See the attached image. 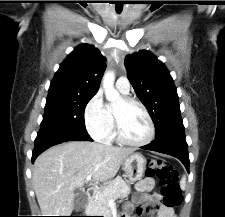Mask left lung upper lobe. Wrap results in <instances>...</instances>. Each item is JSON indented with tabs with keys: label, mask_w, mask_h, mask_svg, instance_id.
Instances as JSON below:
<instances>
[{
	"label": "left lung upper lobe",
	"mask_w": 225,
	"mask_h": 217,
	"mask_svg": "<svg viewBox=\"0 0 225 217\" xmlns=\"http://www.w3.org/2000/svg\"><path fill=\"white\" fill-rule=\"evenodd\" d=\"M128 78L155 125V138L168 131L183 128L178 95L170 73L152 53L146 50L127 55Z\"/></svg>",
	"instance_id": "5c2ea615"
}]
</instances>
